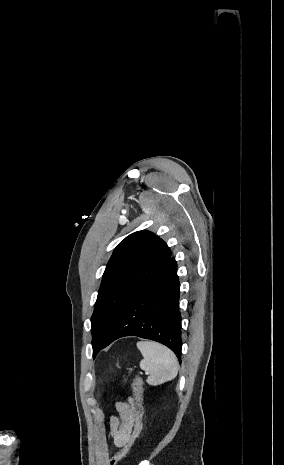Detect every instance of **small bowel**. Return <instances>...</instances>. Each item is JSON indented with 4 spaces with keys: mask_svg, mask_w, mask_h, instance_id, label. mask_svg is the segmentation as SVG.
I'll return each mask as SVG.
<instances>
[{
    "mask_svg": "<svg viewBox=\"0 0 284 465\" xmlns=\"http://www.w3.org/2000/svg\"><path fill=\"white\" fill-rule=\"evenodd\" d=\"M116 410L119 417L112 416L109 421L110 434L113 443L118 448H123L133 431L137 420V412L132 400L127 402H118Z\"/></svg>",
    "mask_w": 284,
    "mask_h": 465,
    "instance_id": "small-bowel-1",
    "label": "small bowel"
}]
</instances>
